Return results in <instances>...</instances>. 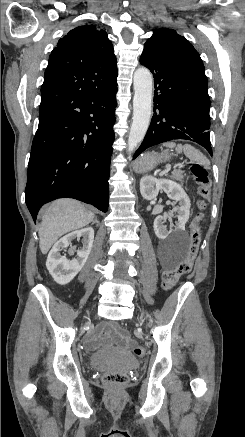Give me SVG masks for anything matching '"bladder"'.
<instances>
[{
    "label": "bladder",
    "mask_w": 245,
    "mask_h": 437,
    "mask_svg": "<svg viewBox=\"0 0 245 437\" xmlns=\"http://www.w3.org/2000/svg\"><path fill=\"white\" fill-rule=\"evenodd\" d=\"M90 362L96 368L130 370L138 366V360L129 352L117 348H105L91 355Z\"/></svg>",
    "instance_id": "obj_1"
}]
</instances>
